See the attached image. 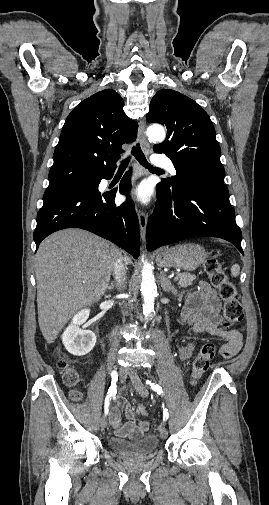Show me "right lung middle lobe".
Listing matches in <instances>:
<instances>
[{
  "label": "right lung middle lobe",
  "instance_id": "1",
  "mask_svg": "<svg viewBox=\"0 0 269 505\" xmlns=\"http://www.w3.org/2000/svg\"><path fill=\"white\" fill-rule=\"evenodd\" d=\"M91 184H92V182L89 180V181H84V182L72 185L70 187H84V186H89Z\"/></svg>",
  "mask_w": 269,
  "mask_h": 505
}]
</instances>
